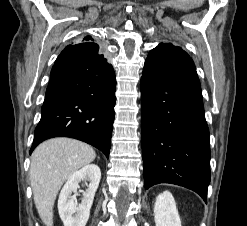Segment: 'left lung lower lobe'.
<instances>
[{"instance_id": "left-lung-lower-lobe-1", "label": "left lung lower lobe", "mask_w": 247, "mask_h": 226, "mask_svg": "<svg viewBox=\"0 0 247 226\" xmlns=\"http://www.w3.org/2000/svg\"><path fill=\"white\" fill-rule=\"evenodd\" d=\"M144 184L172 183L207 201L209 129L194 62L179 46L161 43L141 78Z\"/></svg>"}]
</instances>
